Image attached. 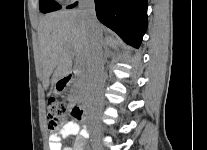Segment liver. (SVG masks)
I'll return each mask as SVG.
<instances>
[{
    "instance_id": "liver-1",
    "label": "liver",
    "mask_w": 207,
    "mask_h": 150,
    "mask_svg": "<svg viewBox=\"0 0 207 150\" xmlns=\"http://www.w3.org/2000/svg\"><path fill=\"white\" fill-rule=\"evenodd\" d=\"M98 28L102 35L104 27L98 23ZM92 34L80 10L52 12L40 20L38 36L46 90L50 83H56L71 73L72 52L83 65L87 64ZM118 42L117 38L107 35L104 44L115 47Z\"/></svg>"
}]
</instances>
